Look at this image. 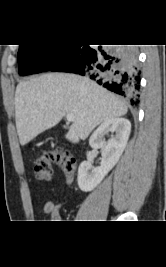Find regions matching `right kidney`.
Here are the masks:
<instances>
[{
    "mask_svg": "<svg viewBox=\"0 0 166 267\" xmlns=\"http://www.w3.org/2000/svg\"><path fill=\"white\" fill-rule=\"evenodd\" d=\"M115 133L107 142L103 140L107 133ZM131 132V124L126 118H112L104 121L92 134L89 144L94 149H102L99 167H93L91 161H84L78 168V186L84 191L93 190L119 161Z\"/></svg>",
    "mask_w": 166,
    "mask_h": 267,
    "instance_id": "ca27d5eb",
    "label": "right kidney"
}]
</instances>
